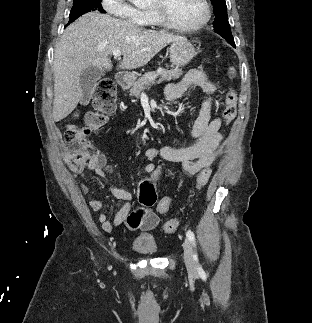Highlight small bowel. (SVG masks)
I'll return each mask as SVG.
<instances>
[{
  "instance_id": "c3829d8e",
  "label": "small bowel",
  "mask_w": 312,
  "mask_h": 323,
  "mask_svg": "<svg viewBox=\"0 0 312 323\" xmlns=\"http://www.w3.org/2000/svg\"><path fill=\"white\" fill-rule=\"evenodd\" d=\"M193 87L202 89L205 94L199 116L191 130L194 143L190 146L179 148L169 145L161 148H148L145 151L147 162L144 165V171L150 176L152 168L158 167L156 165L158 157L164 158L167 162L180 163L186 174L195 175L205 167L211 166L218 156L223 142V136L219 132L221 119L219 117L211 119V99L216 87L209 81L205 72L200 69L188 71L180 81L167 87L166 99L170 102L177 101L187 90ZM88 168L100 177L112 173V167L107 163L103 153L95 154L90 159ZM82 192L84 194L88 193L87 186L82 185ZM108 192L125 202L112 219L105 212L98 215V221L105 231L111 232L120 224H124L131 231H146L155 228L159 224V216L152 214L151 211H146V214H143V211L140 210L132 211L131 200L133 196L130 192L116 187H109ZM103 205L102 199H91L89 201V206L94 212L101 211Z\"/></svg>"
}]
</instances>
